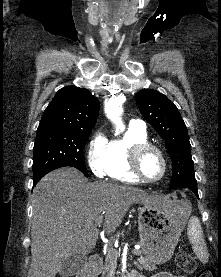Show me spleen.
Segmentation results:
<instances>
[{"mask_svg": "<svg viewBox=\"0 0 221 277\" xmlns=\"http://www.w3.org/2000/svg\"><path fill=\"white\" fill-rule=\"evenodd\" d=\"M191 208L189 209V213ZM187 234L192 245V249L199 260L203 263L208 262L209 255L207 245L203 236L200 220L197 217L190 218L187 227Z\"/></svg>", "mask_w": 221, "mask_h": 277, "instance_id": "obj_1", "label": "spleen"}]
</instances>
